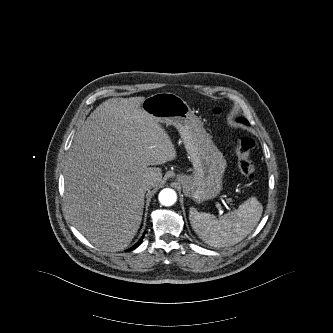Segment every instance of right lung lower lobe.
<instances>
[{"instance_id": "1", "label": "right lung lower lobe", "mask_w": 333, "mask_h": 333, "mask_svg": "<svg viewBox=\"0 0 333 333\" xmlns=\"http://www.w3.org/2000/svg\"><path fill=\"white\" fill-rule=\"evenodd\" d=\"M143 237L144 236H142V238L133 246V247H131L129 250H133V249H135L137 246H139L140 245V243L142 242V239H143Z\"/></svg>"}]
</instances>
